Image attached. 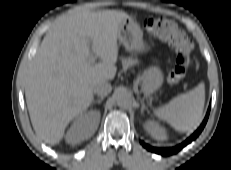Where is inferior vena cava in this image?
I'll list each match as a JSON object with an SVG mask.
<instances>
[{"instance_id": "1", "label": "inferior vena cava", "mask_w": 231, "mask_h": 170, "mask_svg": "<svg viewBox=\"0 0 231 170\" xmlns=\"http://www.w3.org/2000/svg\"><path fill=\"white\" fill-rule=\"evenodd\" d=\"M112 91V87L106 81H100L93 87V92L98 96L104 97Z\"/></svg>"}]
</instances>
